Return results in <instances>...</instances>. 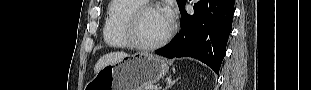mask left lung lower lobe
Returning <instances> with one entry per match:
<instances>
[{
	"mask_svg": "<svg viewBox=\"0 0 311 90\" xmlns=\"http://www.w3.org/2000/svg\"><path fill=\"white\" fill-rule=\"evenodd\" d=\"M185 3L179 8L180 33L155 53L167 58L193 57L218 74L232 29L235 0H200L194 4L193 15L185 11Z\"/></svg>",
	"mask_w": 311,
	"mask_h": 90,
	"instance_id": "0a47b994",
	"label": "left lung lower lobe"
}]
</instances>
